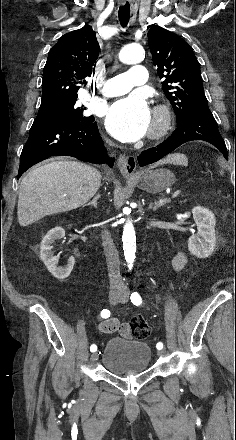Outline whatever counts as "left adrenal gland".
<instances>
[{
	"label": "left adrenal gland",
	"instance_id": "left-adrenal-gland-1",
	"mask_svg": "<svg viewBox=\"0 0 236 440\" xmlns=\"http://www.w3.org/2000/svg\"><path fill=\"white\" fill-rule=\"evenodd\" d=\"M169 202L170 199L160 198L158 201H155L154 203H150L149 207L153 209V211H156L159 207H162Z\"/></svg>",
	"mask_w": 236,
	"mask_h": 440
}]
</instances>
